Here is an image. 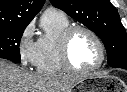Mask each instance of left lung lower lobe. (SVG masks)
<instances>
[{
  "label": "left lung lower lobe",
  "mask_w": 127,
  "mask_h": 92,
  "mask_svg": "<svg viewBox=\"0 0 127 92\" xmlns=\"http://www.w3.org/2000/svg\"><path fill=\"white\" fill-rule=\"evenodd\" d=\"M111 67H114V68H123V69L127 70V62L124 61V62L119 63L118 65H114V66H111Z\"/></svg>",
  "instance_id": "left-lung-lower-lobe-1"
}]
</instances>
